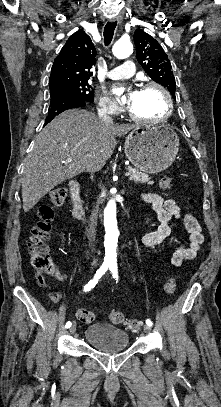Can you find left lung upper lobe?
Listing matches in <instances>:
<instances>
[{
  "label": "left lung upper lobe",
  "mask_w": 221,
  "mask_h": 407,
  "mask_svg": "<svg viewBox=\"0 0 221 407\" xmlns=\"http://www.w3.org/2000/svg\"><path fill=\"white\" fill-rule=\"evenodd\" d=\"M134 42L137 48V60L145 72L152 80L165 86L176 99V82L171 63L161 45L141 29L135 30Z\"/></svg>",
  "instance_id": "left-lung-upper-lobe-1"
}]
</instances>
